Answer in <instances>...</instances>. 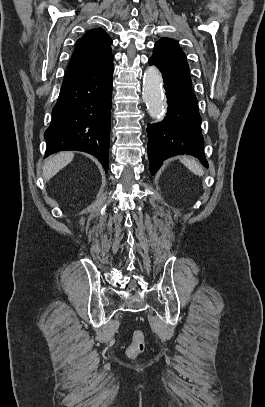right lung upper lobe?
<instances>
[{
    "label": "right lung upper lobe",
    "mask_w": 265,
    "mask_h": 407,
    "mask_svg": "<svg viewBox=\"0 0 265 407\" xmlns=\"http://www.w3.org/2000/svg\"><path fill=\"white\" fill-rule=\"evenodd\" d=\"M111 44L112 40L104 29L89 30L77 40L65 76L81 71L111 54Z\"/></svg>",
    "instance_id": "cb5924a9"
}]
</instances>
